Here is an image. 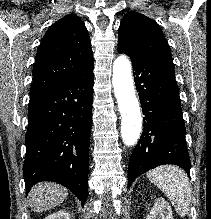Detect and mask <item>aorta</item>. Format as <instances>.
Returning a JSON list of instances; mask_svg holds the SVG:
<instances>
[{"label":"aorta","instance_id":"aorta-1","mask_svg":"<svg viewBox=\"0 0 211 219\" xmlns=\"http://www.w3.org/2000/svg\"><path fill=\"white\" fill-rule=\"evenodd\" d=\"M112 84L122 117L121 136L123 142L127 146H133L140 137L142 117L135 95L131 64L125 55H120L113 63Z\"/></svg>","mask_w":211,"mask_h":219}]
</instances>
